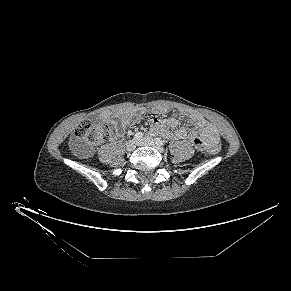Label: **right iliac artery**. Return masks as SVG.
<instances>
[{"label": "right iliac artery", "instance_id": "obj_1", "mask_svg": "<svg viewBox=\"0 0 291 291\" xmlns=\"http://www.w3.org/2000/svg\"><path fill=\"white\" fill-rule=\"evenodd\" d=\"M143 137V134L141 132H137L134 136L135 140H140Z\"/></svg>", "mask_w": 291, "mask_h": 291}]
</instances>
